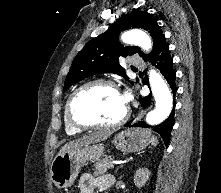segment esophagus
Instances as JSON below:
<instances>
[{
	"instance_id": "34e87169",
	"label": "esophagus",
	"mask_w": 221,
	"mask_h": 193,
	"mask_svg": "<svg viewBox=\"0 0 221 193\" xmlns=\"http://www.w3.org/2000/svg\"><path fill=\"white\" fill-rule=\"evenodd\" d=\"M144 113H145V110H141L139 114L137 115V117L135 118L134 122H137L138 120H140L142 116L144 115Z\"/></svg>"
}]
</instances>
